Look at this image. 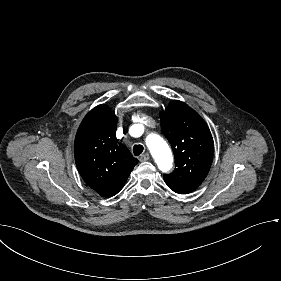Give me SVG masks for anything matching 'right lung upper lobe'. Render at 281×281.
<instances>
[{"mask_svg":"<svg viewBox=\"0 0 281 281\" xmlns=\"http://www.w3.org/2000/svg\"><path fill=\"white\" fill-rule=\"evenodd\" d=\"M117 117L99 105L83 119L74 144L77 169L84 181L103 197L124 186L138 160L116 138Z\"/></svg>","mask_w":281,"mask_h":281,"instance_id":"right-lung-upper-lobe-1","label":"right lung upper lobe"}]
</instances>
